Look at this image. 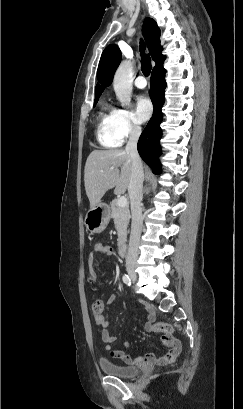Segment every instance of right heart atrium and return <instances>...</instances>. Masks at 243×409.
I'll list each match as a JSON object with an SVG mask.
<instances>
[{
	"mask_svg": "<svg viewBox=\"0 0 243 409\" xmlns=\"http://www.w3.org/2000/svg\"><path fill=\"white\" fill-rule=\"evenodd\" d=\"M111 128L119 141H124L136 135L140 128L132 119L131 113L125 108H115L111 115Z\"/></svg>",
	"mask_w": 243,
	"mask_h": 409,
	"instance_id": "obj_1",
	"label": "right heart atrium"
}]
</instances>
